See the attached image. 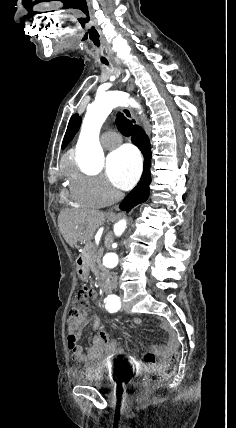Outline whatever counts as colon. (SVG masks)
<instances>
[{"label": "colon", "instance_id": "5ec220e1", "mask_svg": "<svg viewBox=\"0 0 236 428\" xmlns=\"http://www.w3.org/2000/svg\"><path fill=\"white\" fill-rule=\"evenodd\" d=\"M90 298L91 291L87 287L80 289L76 294L74 306L69 312L68 342L71 348L76 347L77 330L86 318V310L88 308ZM179 358V351L177 349H173L167 363L161 369L143 377V387L146 390H150L169 379L175 371Z\"/></svg>", "mask_w": 236, "mask_h": 428}]
</instances>
